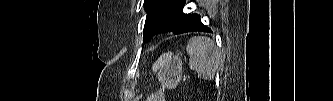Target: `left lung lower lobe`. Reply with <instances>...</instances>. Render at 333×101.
<instances>
[{
	"label": "left lung lower lobe",
	"mask_w": 333,
	"mask_h": 101,
	"mask_svg": "<svg viewBox=\"0 0 333 101\" xmlns=\"http://www.w3.org/2000/svg\"><path fill=\"white\" fill-rule=\"evenodd\" d=\"M183 9L185 0H172ZM211 32V29L203 25L200 21V17L197 14H184V17L179 22V26L173 30L174 34H181L186 32Z\"/></svg>",
	"instance_id": "0a47b994"
}]
</instances>
